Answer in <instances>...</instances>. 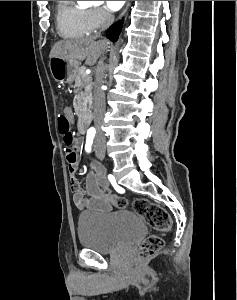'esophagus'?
Segmentation results:
<instances>
[{
    "mask_svg": "<svg viewBox=\"0 0 237 300\" xmlns=\"http://www.w3.org/2000/svg\"><path fill=\"white\" fill-rule=\"evenodd\" d=\"M129 4H130V1H127V4H126V6H125L123 12H122L121 15H120V19L125 15V13H126L128 7H129Z\"/></svg>",
    "mask_w": 237,
    "mask_h": 300,
    "instance_id": "obj_1",
    "label": "esophagus"
}]
</instances>
